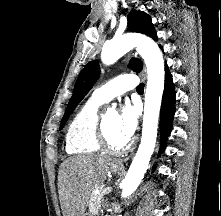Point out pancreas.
<instances>
[{"instance_id": "cf45deb5", "label": "pancreas", "mask_w": 221, "mask_h": 216, "mask_svg": "<svg viewBox=\"0 0 221 216\" xmlns=\"http://www.w3.org/2000/svg\"><path fill=\"white\" fill-rule=\"evenodd\" d=\"M100 194L92 193L89 201V211L92 215H97L101 206H104L103 188H99Z\"/></svg>"}]
</instances>
